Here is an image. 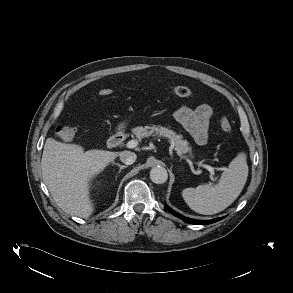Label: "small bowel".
<instances>
[{"label": "small bowel", "instance_id": "small-bowel-1", "mask_svg": "<svg viewBox=\"0 0 293 293\" xmlns=\"http://www.w3.org/2000/svg\"><path fill=\"white\" fill-rule=\"evenodd\" d=\"M212 114V108L207 104H202L195 109L182 106L174 112L173 119L198 145H205L208 140V127Z\"/></svg>", "mask_w": 293, "mask_h": 293}]
</instances>
